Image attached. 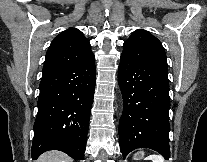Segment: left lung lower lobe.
<instances>
[{
    "mask_svg": "<svg viewBox=\"0 0 207 162\" xmlns=\"http://www.w3.org/2000/svg\"><path fill=\"white\" fill-rule=\"evenodd\" d=\"M118 82L123 97L119 123L123 157L149 148L169 159L168 70L121 56Z\"/></svg>",
    "mask_w": 207,
    "mask_h": 162,
    "instance_id": "left-lung-lower-lobe-1",
    "label": "left lung lower lobe"
}]
</instances>
